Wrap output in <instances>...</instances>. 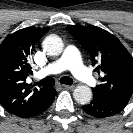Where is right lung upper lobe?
<instances>
[{
	"label": "right lung upper lobe",
	"instance_id": "right-lung-upper-lobe-1",
	"mask_svg": "<svg viewBox=\"0 0 133 133\" xmlns=\"http://www.w3.org/2000/svg\"><path fill=\"white\" fill-rule=\"evenodd\" d=\"M47 31L48 27L20 29L0 44V104L18 117L36 115L52 95V87L33 89L26 83L34 46Z\"/></svg>",
	"mask_w": 133,
	"mask_h": 133
}]
</instances>
